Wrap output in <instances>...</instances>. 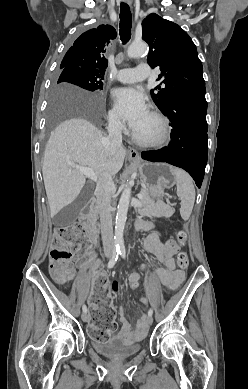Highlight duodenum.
Instances as JSON below:
<instances>
[{"label":"duodenum","instance_id":"1","mask_svg":"<svg viewBox=\"0 0 248 389\" xmlns=\"http://www.w3.org/2000/svg\"><path fill=\"white\" fill-rule=\"evenodd\" d=\"M97 215V206L91 203L88 211L80 218V223L94 246H97V230L95 226Z\"/></svg>","mask_w":248,"mask_h":389}]
</instances>
